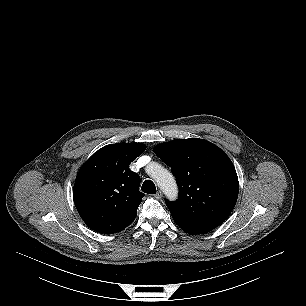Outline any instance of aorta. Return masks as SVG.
<instances>
[{
    "instance_id": "aorta-1",
    "label": "aorta",
    "mask_w": 306,
    "mask_h": 306,
    "mask_svg": "<svg viewBox=\"0 0 306 306\" xmlns=\"http://www.w3.org/2000/svg\"><path fill=\"white\" fill-rule=\"evenodd\" d=\"M151 176L169 199L173 200L177 197V184L174 176L168 170L159 164H153Z\"/></svg>"
}]
</instances>
